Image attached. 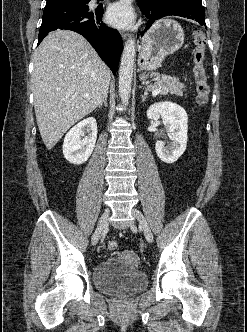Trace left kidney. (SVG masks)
<instances>
[{
	"label": "left kidney",
	"mask_w": 247,
	"mask_h": 332,
	"mask_svg": "<svg viewBox=\"0 0 247 332\" xmlns=\"http://www.w3.org/2000/svg\"><path fill=\"white\" fill-rule=\"evenodd\" d=\"M148 119L158 121L161 117L166 127L171 143L166 144L158 140L155 150L158 157L165 163H174L184 153L187 145L188 115L178 104L159 102L151 105L147 110Z\"/></svg>",
	"instance_id": "obj_1"
}]
</instances>
